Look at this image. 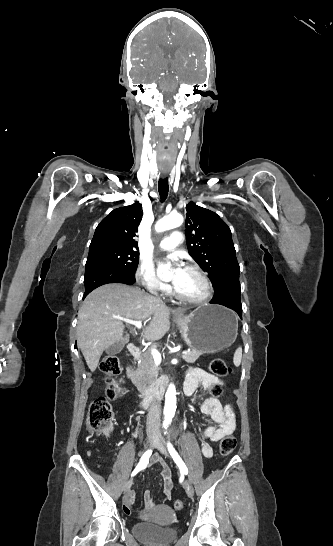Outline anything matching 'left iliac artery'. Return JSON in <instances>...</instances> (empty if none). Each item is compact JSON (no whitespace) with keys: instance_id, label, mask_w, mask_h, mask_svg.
<instances>
[{"instance_id":"1","label":"left iliac artery","mask_w":333,"mask_h":546,"mask_svg":"<svg viewBox=\"0 0 333 546\" xmlns=\"http://www.w3.org/2000/svg\"><path fill=\"white\" fill-rule=\"evenodd\" d=\"M167 447H168V451H169L170 455L172 456L173 460L175 461V463H176L177 466L179 467L180 472H181L182 474L187 475L188 469H187L185 463L183 462L182 458H181L180 455L178 454V452L175 450V448L173 447V445L170 443V441H168Z\"/></svg>"}]
</instances>
